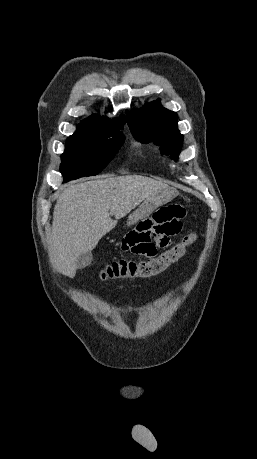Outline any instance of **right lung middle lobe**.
<instances>
[{
  "instance_id": "dd1d6c3e",
  "label": "right lung middle lobe",
  "mask_w": 257,
  "mask_h": 459,
  "mask_svg": "<svg viewBox=\"0 0 257 459\" xmlns=\"http://www.w3.org/2000/svg\"><path fill=\"white\" fill-rule=\"evenodd\" d=\"M124 139L120 130L100 133L78 127L68 138L61 157L60 171L64 181L101 172L118 152Z\"/></svg>"
}]
</instances>
